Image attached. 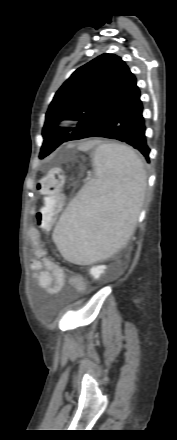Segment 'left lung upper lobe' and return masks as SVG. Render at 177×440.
<instances>
[{"label":"left lung upper lobe","instance_id":"1","mask_svg":"<svg viewBox=\"0 0 177 440\" xmlns=\"http://www.w3.org/2000/svg\"><path fill=\"white\" fill-rule=\"evenodd\" d=\"M137 89L134 74L114 54H102L78 68L49 106L39 158L46 157L63 142L84 138L122 107ZM64 119L79 121L70 136L55 134L70 131L57 126Z\"/></svg>","mask_w":177,"mask_h":440}]
</instances>
